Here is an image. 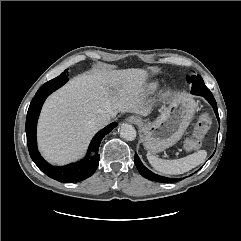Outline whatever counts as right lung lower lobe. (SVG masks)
I'll list each match as a JSON object with an SVG mask.
<instances>
[{
    "mask_svg": "<svg viewBox=\"0 0 241 241\" xmlns=\"http://www.w3.org/2000/svg\"><path fill=\"white\" fill-rule=\"evenodd\" d=\"M50 92L36 94L30 103L26 119V135L29 154L37 167L49 177L60 182H79L90 177L99 165L98 148L102 138L118 124L116 122L106 126L92 139L87 156L77 162L64 167H53L48 164L39 154L36 142V126L41 107ZM96 153L90 156V153Z\"/></svg>",
    "mask_w": 241,
    "mask_h": 241,
    "instance_id": "right-lung-lower-lobe-1",
    "label": "right lung lower lobe"
}]
</instances>
